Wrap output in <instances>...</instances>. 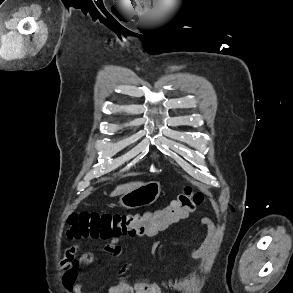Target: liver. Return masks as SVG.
<instances>
[{"label":"liver","mask_w":293,"mask_h":293,"mask_svg":"<svg viewBox=\"0 0 293 293\" xmlns=\"http://www.w3.org/2000/svg\"><path fill=\"white\" fill-rule=\"evenodd\" d=\"M141 185H142L141 182H131V183L119 185L115 188V190L111 193L110 196L114 197V196L122 195V194L129 192V191H131Z\"/></svg>","instance_id":"obj_1"}]
</instances>
